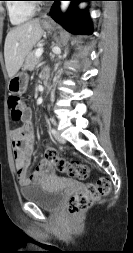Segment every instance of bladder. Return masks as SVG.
I'll return each instance as SVG.
<instances>
[{
  "label": "bladder",
  "instance_id": "31cf9c89",
  "mask_svg": "<svg viewBox=\"0 0 133 253\" xmlns=\"http://www.w3.org/2000/svg\"><path fill=\"white\" fill-rule=\"evenodd\" d=\"M23 200L31 202L46 211H55L62 203L64 194L42 184H30L20 188Z\"/></svg>",
  "mask_w": 133,
  "mask_h": 253
}]
</instances>
